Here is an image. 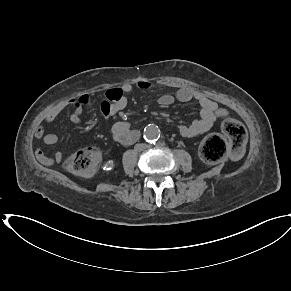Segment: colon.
Instances as JSON below:
<instances>
[{
	"label": "colon",
	"instance_id": "5ec220e1",
	"mask_svg": "<svg viewBox=\"0 0 291 291\" xmlns=\"http://www.w3.org/2000/svg\"><path fill=\"white\" fill-rule=\"evenodd\" d=\"M221 129L224 136L210 134L202 142L200 155L205 162L218 163L224 159L229 145L238 151L246 140V130L242 123L233 117L223 119ZM101 159L100 150L89 146L71 154L65 161V169L75 175L89 176L95 172Z\"/></svg>",
	"mask_w": 291,
	"mask_h": 291
}]
</instances>
